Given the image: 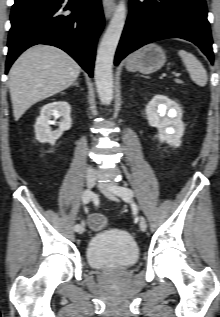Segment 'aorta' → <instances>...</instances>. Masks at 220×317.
<instances>
[{
  "label": "aorta",
  "mask_w": 220,
  "mask_h": 317,
  "mask_svg": "<svg viewBox=\"0 0 220 317\" xmlns=\"http://www.w3.org/2000/svg\"><path fill=\"white\" fill-rule=\"evenodd\" d=\"M126 5L122 0L101 39L95 62L94 78L97 93L104 104L113 99V60L125 25Z\"/></svg>",
  "instance_id": "1"
}]
</instances>
